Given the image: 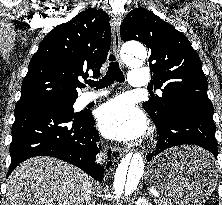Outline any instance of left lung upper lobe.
<instances>
[{
    "label": "left lung upper lobe",
    "instance_id": "1",
    "mask_svg": "<svg viewBox=\"0 0 222 205\" xmlns=\"http://www.w3.org/2000/svg\"><path fill=\"white\" fill-rule=\"evenodd\" d=\"M120 34L124 42L137 40L151 51L149 64L154 88L163 93L161 97L152 95L144 103V110L154 123H161L179 103L212 106L201 61L185 35L145 8L126 15Z\"/></svg>",
    "mask_w": 222,
    "mask_h": 205
}]
</instances>
